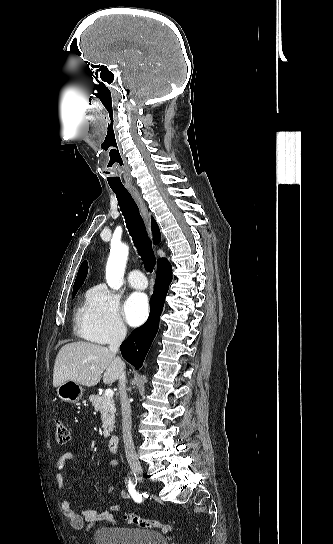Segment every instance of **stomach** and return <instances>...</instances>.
Returning a JSON list of instances; mask_svg holds the SVG:
<instances>
[{
    "label": "stomach",
    "mask_w": 333,
    "mask_h": 544,
    "mask_svg": "<svg viewBox=\"0 0 333 544\" xmlns=\"http://www.w3.org/2000/svg\"><path fill=\"white\" fill-rule=\"evenodd\" d=\"M81 384L68 380L57 387V397L64 402L77 403L83 395Z\"/></svg>",
    "instance_id": "obj_1"
}]
</instances>
